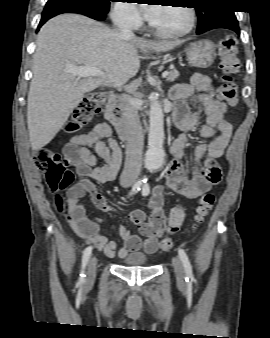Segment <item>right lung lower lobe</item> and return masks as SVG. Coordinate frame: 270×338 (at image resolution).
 Masks as SVG:
<instances>
[{
  "mask_svg": "<svg viewBox=\"0 0 270 338\" xmlns=\"http://www.w3.org/2000/svg\"><path fill=\"white\" fill-rule=\"evenodd\" d=\"M69 12L83 14V15H86V16L93 18V19H96V20H103L107 15V13H104V12L94 11V10L82 8V7H72V8L51 7V8H45L43 13H42V18H41L40 24L38 26V30L48 19H50V18H52L56 15H59V14H62V13H69Z\"/></svg>",
  "mask_w": 270,
  "mask_h": 338,
  "instance_id": "obj_1",
  "label": "right lung lower lobe"
}]
</instances>
